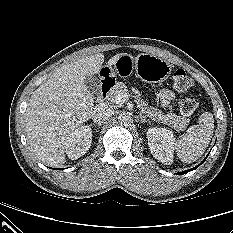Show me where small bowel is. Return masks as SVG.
<instances>
[{"instance_id":"small-bowel-1","label":"small bowel","mask_w":233,"mask_h":233,"mask_svg":"<svg viewBox=\"0 0 233 233\" xmlns=\"http://www.w3.org/2000/svg\"><path fill=\"white\" fill-rule=\"evenodd\" d=\"M175 97V94L170 90H163L160 93V99L164 106L168 105Z\"/></svg>"}]
</instances>
